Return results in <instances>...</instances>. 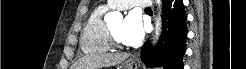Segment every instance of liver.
Here are the masks:
<instances>
[{
	"instance_id": "obj_1",
	"label": "liver",
	"mask_w": 246,
	"mask_h": 69,
	"mask_svg": "<svg viewBox=\"0 0 246 69\" xmlns=\"http://www.w3.org/2000/svg\"><path fill=\"white\" fill-rule=\"evenodd\" d=\"M128 58V54H100V55H88L82 57L74 65L73 69H98L101 67H110L122 63Z\"/></svg>"
}]
</instances>
